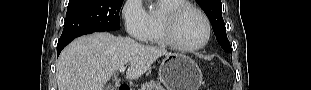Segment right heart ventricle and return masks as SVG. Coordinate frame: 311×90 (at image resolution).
<instances>
[{
	"label": "right heart ventricle",
	"instance_id": "1",
	"mask_svg": "<svg viewBox=\"0 0 311 90\" xmlns=\"http://www.w3.org/2000/svg\"><path fill=\"white\" fill-rule=\"evenodd\" d=\"M185 1L182 0H161V11L160 12H150L148 14L149 19V27H148V33L144 41L148 43H153L157 45H164L165 42L163 40L162 34H161V27H160V18L163 12L172 9L174 7H177L181 4H184Z\"/></svg>",
	"mask_w": 311,
	"mask_h": 90
}]
</instances>
